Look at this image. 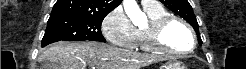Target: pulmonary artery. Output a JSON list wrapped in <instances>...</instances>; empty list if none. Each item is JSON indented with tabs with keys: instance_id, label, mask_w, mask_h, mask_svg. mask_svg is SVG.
<instances>
[{
	"instance_id": "pulmonary-artery-1",
	"label": "pulmonary artery",
	"mask_w": 246,
	"mask_h": 69,
	"mask_svg": "<svg viewBox=\"0 0 246 69\" xmlns=\"http://www.w3.org/2000/svg\"><path fill=\"white\" fill-rule=\"evenodd\" d=\"M143 6H156L159 5V2L157 1H149V0H144L142 2Z\"/></svg>"
}]
</instances>
